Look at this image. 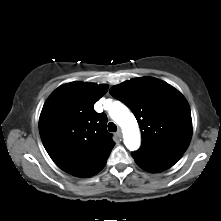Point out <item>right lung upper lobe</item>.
<instances>
[{"instance_id": "right-lung-upper-lobe-1", "label": "right lung upper lobe", "mask_w": 221, "mask_h": 221, "mask_svg": "<svg viewBox=\"0 0 221 221\" xmlns=\"http://www.w3.org/2000/svg\"><path fill=\"white\" fill-rule=\"evenodd\" d=\"M107 90V84L72 82L57 88L45 102L40 136L63 171L81 176L107 161L115 143L106 129V115L93 108Z\"/></svg>"}]
</instances>
